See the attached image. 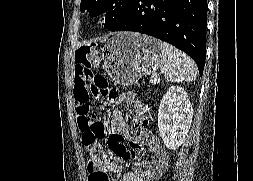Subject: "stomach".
Masks as SVG:
<instances>
[{
    "label": "stomach",
    "mask_w": 253,
    "mask_h": 181,
    "mask_svg": "<svg viewBox=\"0 0 253 181\" xmlns=\"http://www.w3.org/2000/svg\"><path fill=\"white\" fill-rule=\"evenodd\" d=\"M101 54L109 77L123 86L133 85L161 67V41L143 34L119 32L103 45Z\"/></svg>",
    "instance_id": "obj_1"
}]
</instances>
